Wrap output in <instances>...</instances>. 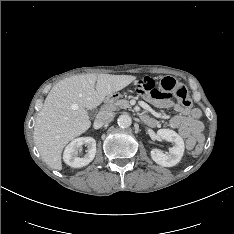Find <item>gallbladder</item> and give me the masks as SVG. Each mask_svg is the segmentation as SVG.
I'll return each instance as SVG.
<instances>
[{
	"label": "gallbladder",
	"instance_id": "bac80fb5",
	"mask_svg": "<svg viewBox=\"0 0 234 234\" xmlns=\"http://www.w3.org/2000/svg\"><path fill=\"white\" fill-rule=\"evenodd\" d=\"M92 113H93V110L88 111V114H92Z\"/></svg>",
	"mask_w": 234,
	"mask_h": 234
}]
</instances>
